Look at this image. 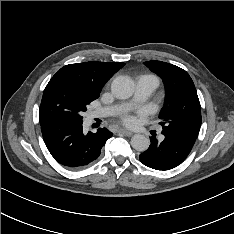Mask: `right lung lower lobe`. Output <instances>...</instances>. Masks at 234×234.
Wrapping results in <instances>:
<instances>
[{"instance_id":"right-lung-lower-lobe-1","label":"right lung lower lobe","mask_w":234,"mask_h":234,"mask_svg":"<svg viewBox=\"0 0 234 234\" xmlns=\"http://www.w3.org/2000/svg\"><path fill=\"white\" fill-rule=\"evenodd\" d=\"M82 123V120H53L40 124L49 152L65 167L80 169L91 164L113 135L106 128L84 134Z\"/></svg>"}]
</instances>
